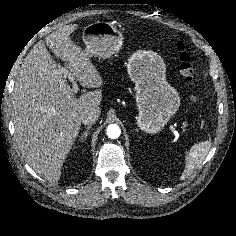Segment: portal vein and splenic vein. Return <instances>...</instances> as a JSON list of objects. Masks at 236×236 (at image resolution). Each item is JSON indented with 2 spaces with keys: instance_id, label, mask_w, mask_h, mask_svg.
Masks as SVG:
<instances>
[{
  "instance_id": "18ae733b",
  "label": "portal vein and splenic vein",
  "mask_w": 236,
  "mask_h": 236,
  "mask_svg": "<svg viewBox=\"0 0 236 236\" xmlns=\"http://www.w3.org/2000/svg\"><path fill=\"white\" fill-rule=\"evenodd\" d=\"M64 74H65V76H68V79L72 82V84H73L72 90H73V93L76 94L78 91V85L75 81V78L67 70L64 72ZM183 126L186 127V124H183ZM171 130L173 131L174 134L177 133V130L174 127H172Z\"/></svg>"
}]
</instances>
